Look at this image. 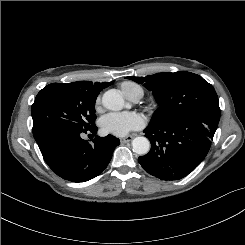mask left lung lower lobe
Here are the masks:
<instances>
[{"label":"left lung lower lobe","instance_id":"0a47b994","mask_svg":"<svg viewBox=\"0 0 245 245\" xmlns=\"http://www.w3.org/2000/svg\"><path fill=\"white\" fill-rule=\"evenodd\" d=\"M219 120L192 116L160 126H148L144 133L151 149L138 161L149 174L161 180H179L206 157Z\"/></svg>","mask_w":245,"mask_h":245}]
</instances>
